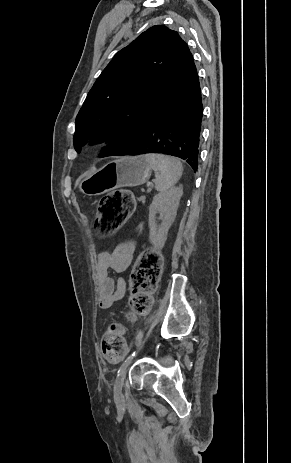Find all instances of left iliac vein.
<instances>
[{"mask_svg": "<svg viewBox=\"0 0 291 463\" xmlns=\"http://www.w3.org/2000/svg\"><path fill=\"white\" fill-rule=\"evenodd\" d=\"M128 366L118 375L114 383V400L117 405H122L124 398L122 394V388L127 374Z\"/></svg>", "mask_w": 291, "mask_h": 463, "instance_id": "left-iliac-vein-1", "label": "left iliac vein"}]
</instances>
